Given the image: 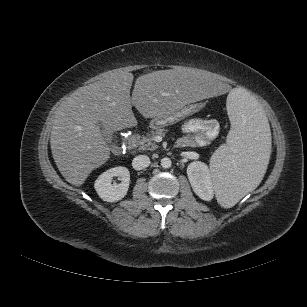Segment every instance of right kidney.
<instances>
[{
  "label": "right kidney",
  "mask_w": 307,
  "mask_h": 307,
  "mask_svg": "<svg viewBox=\"0 0 307 307\" xmlns=\"http://www.w3.org/2000/svg\"><path fill=\"white\" fill-rule=\"evenodd\" d=\"M113 177H119L121 183L112 185ZM130 184V172L126 167H114L103 172L95 181L94 187L103 201L117 202L127 194Z\"/></svg>",
  "instance_id": "right-kidney-1"
}]
</instances>
